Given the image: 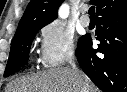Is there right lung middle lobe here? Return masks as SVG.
Returning <instances> with one entry per match:
<instances>
[{"label":"right lung middle lobe","mask_w":127,"mask_h":92,"mask_svg":"<svg viewBox=\"0 0 127 92\" xmlns=\"http://www.w3.org/2000/svg\"><path fill=\"white\" fill-rule=\"evenodd\" d=\"M42 27H44V25L30 27L13 38L4 77L9 76L20 67L27 64L31 43L37 31ZM82 38L83 37L79 39L78 43Z\"/></svg>","instance_id":"dd1d6c3e"}]
</instances>
